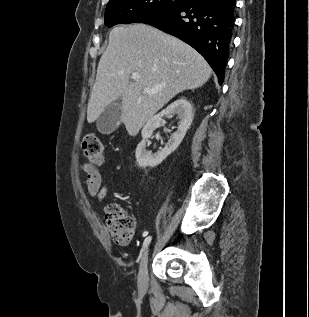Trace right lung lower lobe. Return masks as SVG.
<instances>
[{
  "mask_svg": "<svg viewBox=\"0 0 309 317\" xmlns=\"http://www.w3.org/2000/svg\"><path fill=\"white\" fill-rule=\"evenodd\" d=\"M235 0H186L174 8L142 16L152 25L195 48L224 80L235 22Z\"/></svg>",
  "mask_w": 309,
  "mask_h": 317,
  "instance_id": "1",
  "label": "right lung lower lobe"
}]
</instances>
